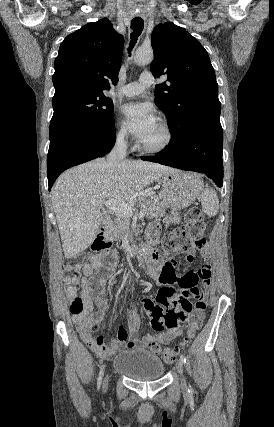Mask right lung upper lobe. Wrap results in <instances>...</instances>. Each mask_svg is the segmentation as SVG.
Segmentation results:
<instances>
[{"mask_svg":"<svg viewBox=\"0 0 274 427\" xmlns=\"http://www.w3.org/2000/svg\"><path fill=\"white\" fill-rule=\"evenodd\" d=\"M124 38L107 18L68 35L55 59L53 102L67 94H95L116 85Z\"/></svg>","mask_w":274,"mask_h":427,"instance_id":"obj_1","label":"right lung upper lobe"}]
</instances>
